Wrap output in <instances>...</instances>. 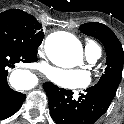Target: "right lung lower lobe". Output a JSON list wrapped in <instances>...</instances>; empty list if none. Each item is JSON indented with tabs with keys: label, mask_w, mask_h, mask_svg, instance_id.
Listing matches in <instances>:
<instances>
[{
	"label": "right lung lower lobe",
	"mask_w": 124,
	"mask_h": 124,
	"mask_svg": "<svg viewBox=\"0 0 124 124\" xmlns=\"http://www.w3.org/2000/svg\"><path fill=\"white\" fill-rule=\"evenodd\" d=\"M37 61L36 55H28L0 46V120L6 119L17 112L26 95L12 90L7 83L10 69L18 63Z\"/></svg>",
	"instance_id": "obj_1"
}]
</instances>
